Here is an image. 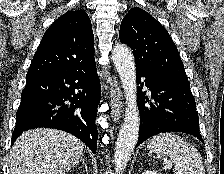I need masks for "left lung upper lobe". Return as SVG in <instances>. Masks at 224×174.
<instances>
[{
  "mask_svg": "<svg viewBox=\"0 0 224 174\" xmlns=\"http://www.w3.org/2000/svg\"><path fill=\"white\" fill-rule=\"evenodd\" d=\"M120 41L133 51L136 68L187 79L177 47L167 30L149 13L132 8L123 18Z\"/></svg>",
  "mask_w": 224,
  "mask_h": 174,
  "instance_id": "1",
  "label": "left lung upper lobe"
}]
</instances>
